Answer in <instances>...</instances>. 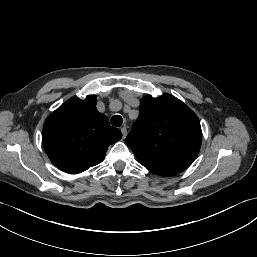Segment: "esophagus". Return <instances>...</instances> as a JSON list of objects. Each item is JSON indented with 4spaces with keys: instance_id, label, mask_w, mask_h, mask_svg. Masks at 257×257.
<instances>
[{
    "instance_id": "1",
    "label": "esophagus",
    "mask_w": 257,
    "mask_h": 257,
    "mask_svg": "<svg viewBox=\"0 0 257 257\" xmlns=\"http://www.w3.org/2000/svg\"><path fill=\"white\" fill-rule=\"evenodd\" d=\"M121 132H122V135H123V139H125L126 136H127V128L126 127H122L121 128Z\"/></svg>"
}]
</instances>
